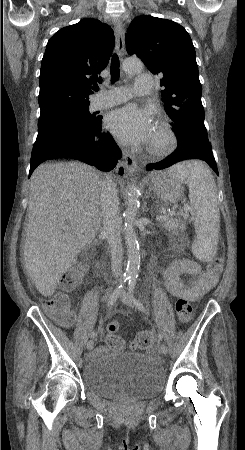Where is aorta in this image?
<instances>
[{
    "instance_id": "obj_1",
    "label": "aorta",
    "mask_w": 245,
    "mask_h": 450,
    "mask_svg": "<svg viewBox=\"0 0 245 450\" xmlns=\"http://www.w3.org/2000/svg\"><path fill=\"white\" fill-rule=\"evenodd\" d=\"M126 73L139 72L143 64L139 59L127 58L122 64ZM140 189L136 183L132 182L129 186L127 209L125 211L124 239L127 246L128 263L126 276L136 278L140 266V249L137 235L134 229V221L139 208Z\"/></svg>"
}]
</instances>
